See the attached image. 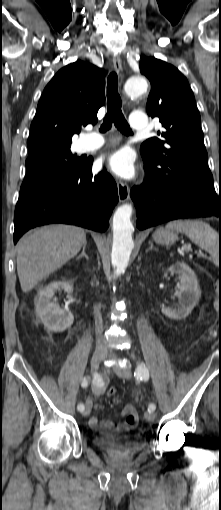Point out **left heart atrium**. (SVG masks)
I'll list each match as a JSON object with an SVG mask.
<instances>
[{"mask_svg":"<svg viewBox=\"0 0 221 510\" xmlns=\"http://www.w3.org/2000/svg\"><path fill=\"white\" fill-rule=\"evenodd\" d=\"M107 162L115 174L124 178H129L132 176L134 168L130 152H116L107 159Z\"/></svg>","mask_w":221,"mask_h":510,"instance_id":"obj_1","label":"left heart atrium"}]
</instances>
